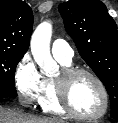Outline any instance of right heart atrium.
<instances>
[{
  "mask_svg": "<svg viewBox=\"0 0 118 123\" xmlns=\"http://www.w3.org/2000/svg\"><path fill=\"white\" fill-rule=\"evenodd\" d=\"M14 83L22 104L33 105L41 98L45 81L30 55H25L17 64Z\"/></svg>",
  "mask_w": 118,
  "mask_h": 123,
  "instance_id": "obj_1",
  "label": "right heart atrium"
}]
</instances>
